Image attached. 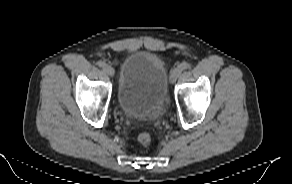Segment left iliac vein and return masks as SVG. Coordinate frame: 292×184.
<instances>
[{
    "label": "left iliac vein",
    "instance_id": "4c4485c4",
    "mask_svg": "<svg viewBox=\"0 0 292 184\" xmlns=\"http://www.w3.org/2000/svg\"><path fill=\"white\" fill-rule=\"evenodd\" d=\"M180 74L181 70L179 68H174L170 74V83H175Z\"/></svg>",
    "mask_w": 292,
    "mask_h": 184
}]
</instances>
